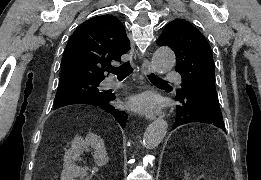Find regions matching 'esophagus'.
<instances>
[{"mask_svg": "<svg viewBox=\"0 0 261 180\" xmlns=\"http://www.w3.org/2000/svg\"><path fill=\"white\" fill-rule=\"evenodd\" d=\"M141 72L143 75L147 76L154 72V69L149 60H144L141 65ZM163 116V112L158 110L155 112H149L146 114L147 120H155L157 118H161Z\"/></svg>", "mask_w": 261, "mask_h": 180, "instance_id": "obj_1", "label": "esophagus"}]
</instances>
